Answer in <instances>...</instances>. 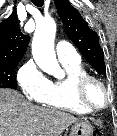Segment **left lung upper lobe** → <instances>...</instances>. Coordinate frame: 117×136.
Returning <instances> with one entry per match:
<instances>
[{"instance_id":"1","label":"left lung upper lobe","mask_w":117,"mask_h":136,"mask_svg":"<svg viewBox=\"0 0 117 136\" xmlns=\"http://www.w3.org/2000/svg\"><path fill=\"white\" fill-rule=\"evenodd\" d=\"M54 2L69 39L99 74L106 75L104 53L97 33L88 27L87 22L68 0Z\"/></svg>"}]
</instances>
